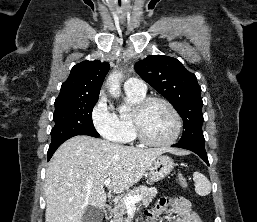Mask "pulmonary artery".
<instances>
[{
	"instance_id": "pulmonary-artery-1",
	"label": "pulmonary artery",
	"mask_w": 257,
	"mask_h": 222,
	"mask_svg": "<svg viewBox=\"0 0 257 222\" xmlns=\"http://www.w3.org/2000/svg\"><path fill=\"white\" fill-rule=\"evenodd\" d=\"M124 86L127 91H130L133 93L145 94L147 91L145 82L142 79L137 78V77L129 78L125 82Z\"/></svg>"
}]
</instances>
